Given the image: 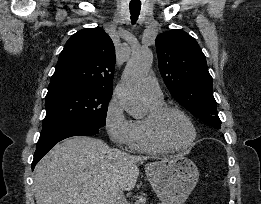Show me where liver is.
<instances>
[{
	"label": "liver",
	"mask_w": 261,
	"mask_h": 204,
	"mask_svg": "<svg viewBox=\"0 0 261 204\" xmlns=\"http://www.w3.org/2000/svg\"><path fill=\"white\" fill-rule=\"evenodd\" d=\"M154 158V157H152ZM149 156L129 155L104 141L85 136L57 144L34 170L37 204H109L114 189L132 190L137 163Z\"/></svg>",
	"instance_id": "6515ba94"
}]
</instances>
